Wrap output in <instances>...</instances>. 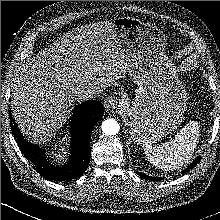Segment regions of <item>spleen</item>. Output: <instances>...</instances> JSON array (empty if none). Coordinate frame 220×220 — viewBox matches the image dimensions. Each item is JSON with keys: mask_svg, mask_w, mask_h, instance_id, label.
Returning a JSON list of instances; mask_svg holds the SVG:
<instances>
[{"mask_svg": "<svg viewBox=\"0 0 220 220\" xmlns=\"http://www.w3.org/2000/svg\"><path fill=\"white\" fill-rule=\"evenodd\" d=\"M200 129L196 121L186 124L169 142L162 146L143 145L151 164L164 170L173 171L190 162L199 141Z\"/></svg>", "mask_w": 220, "mask_h": 220, "instance_id": "1", "label": "spleen"}]
</instances>
